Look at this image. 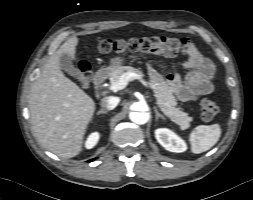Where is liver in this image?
Returning <instances> with one entry per match:
<instances>
[{
  "mask_svg": "<svg viewBox=\"0 0 253 200\" xmlns=\"http://www.w3.org/2000/svg\"><path fill=\"white\" fill-rule=\"evenodd\" d=\"M77 37H71L44 64L32 84L28 107L39 143L61 158H72L82 150L95 102L60 67V57L75 58Z\"/></svg>",
  "mask_w": 253,
  "mask_h": 200,
  "instance_id": "1",
  "label": "liver"
}]
</instances>
